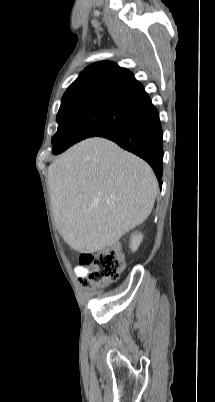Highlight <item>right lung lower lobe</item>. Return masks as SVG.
<instances>
[{"mask_svg": "<svg viewBox=\"0 0 215 402\" xmlns=\"http://www.w3.org/2000/svg\"><path fill=\"white\" fill-rule=\"evenodd\" d=\"M102 137L148 162L160 181L163 172V133L159 113L151 101L122 128ZM159 184L161 186L162 182Z\"/></svg>", "mask_w": 215, "mask_h": 402, "instance_id": "right-lung-lower-lobe-1", "label": "right lung lower lobe"}]
</instances>
